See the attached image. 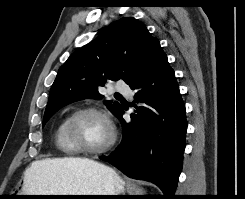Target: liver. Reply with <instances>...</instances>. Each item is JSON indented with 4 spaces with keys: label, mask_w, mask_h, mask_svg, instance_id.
<instances>
[{
    "label": "liver",
    "mask_w": 245,
    "mask_h": 199,
    "mask_svg": "<svg viewBox=\"0 0 245 199\" xmlns=\"http://www.w3.org/2000/svg\"><path fill=\"white\" fill-rule=\"evenodd\" d=\"M98 162L88 158L65 157L43 159L32 162L24 173V186L31 192H53L50 181L53 175L69 174L79 168L99 166Z\"/></svg>",
    "instance_id": "6515ba94"
}]
</instances>
